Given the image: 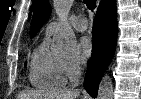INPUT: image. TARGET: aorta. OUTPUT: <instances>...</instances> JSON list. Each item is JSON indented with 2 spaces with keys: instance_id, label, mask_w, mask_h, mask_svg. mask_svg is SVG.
Segmentation results:
<instances>
[{
  "instance_id": "obj_1",
  "label": "aorta",
  "mask_w": 141,
  "mask_h": 99,
  "mask_svg": "<svg viewBox=\"0 0 141 99\" xmlns=\"http://www.w3.org/2000/svg\"><path fill=\"white\" fill-rule=\"evenodd\" d=\"M73 0H54V8L61 18V26L56 33L55 48L58 53L71 55L78 51V43L71 27L66 22ZM113 85L108 75H104L100 81L97 99H112Z\"/></svg>"
}]
</instances>
